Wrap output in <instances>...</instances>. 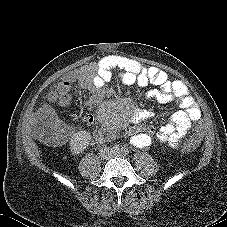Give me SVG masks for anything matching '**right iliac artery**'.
Listing matches in <instances>:
<instances>
[{"label": "right iliac artery", "instance_id": "82829eb1", "mask_svg": "<svg viewBox=\"0 0 227 227\" xmlns=\"http://www.w3.org/2000/svg\"><path fill=\"white\" fill-rule=\"evenodd\" d=\"M111 150L114 152H117L119 150V146L115 145V146H113V148Z\"/></svg>", "mask_w": 227, "mask_h": 227}]
</instances>
